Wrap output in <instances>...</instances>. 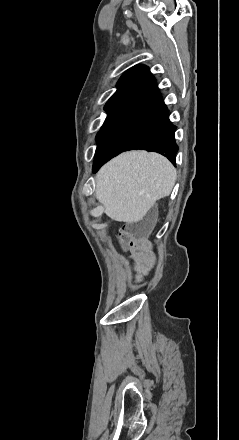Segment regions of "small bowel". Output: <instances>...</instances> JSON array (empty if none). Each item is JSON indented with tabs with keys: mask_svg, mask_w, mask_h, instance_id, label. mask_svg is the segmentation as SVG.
<instances>
[{
	"mask_svg": "<svg viewBox=\"0 0 239 440\" xmlns=\"http://www.w3.org/2000/svg\"><path fill=\"white\" fill-rule=\"evenodd\" d=\"M130 258L135 265L137 278L146 274L154 264V255L145 245L130 247Z\"/></svg>",
	"mask_w": 239,
	"mask_h": 440,
	"instance_id": "1",
	"label": "small bowel"
}]
</instances>
